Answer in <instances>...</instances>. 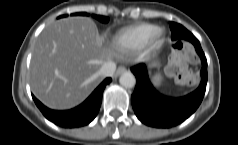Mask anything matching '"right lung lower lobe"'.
<instances>
[{
  "label": "right lung lower lobe",
  "mask_w": 238,
  "mask_h": 145,
  "mask_svg": "<svg viewBox=\"0 0 238 145\" xmlns=\"http://www.w3.org/2000/svg\"><path fill=\"white\" fill-rule=\"evenodd\" d=\"M111 81V78H106L81 105L71 110H51L37 100L34 95L32 97L37 107L49 121L64 128L81 127L88 125L98 114L104 88Z\"/></svg>",
  "instance_id": "98d812e1"
}]
</instances>
